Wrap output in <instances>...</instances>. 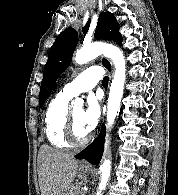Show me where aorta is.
Masks as SVG:
<instances>
[{"label": "aorta", "mask_w": 178, "mask_h": 195, "mask_svg": "<svg viewBox=\"0 0 178 195\" xmlns=\"http://www.w3.org/2000/svg\"><path fill=\"white\" fill-rule=\"evenodd\" d=\"M101 54L109 57L115 66V74L110 86L107 105V126L108 128H111L120 111V102L123 96L126 77V62L122 51L112 44L95 42L83 46L80 50H78L75 54L74 60L77 64L82 65L97 58ZM81 104L82 101L80 99H76L73 102L74 107L80 106ZM99 170L101 172V180L98 186L97 195H102L110 177V159L104 158Z\"/></svg>", "instance_id": "1"}]
</instances>
